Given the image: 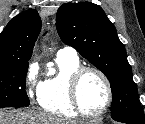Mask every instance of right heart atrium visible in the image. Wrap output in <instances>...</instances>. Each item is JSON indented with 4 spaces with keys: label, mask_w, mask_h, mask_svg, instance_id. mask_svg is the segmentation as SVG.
Returning a JSON list of instances; mask_svg holds the SVG:
<instances>
[{
    "label": "right heart atrium",
    "mask_w": 145,
    "mask_h": 124,
    "mask_svg": "<svg viewBox=\"0 0 145 124\" xmlns=\"http://www.w3.org/2000/svg\"><path fill=\"white\" fill-rule=\"evenodd\" d=\"M38 65H30L27 73V92L31 98L38 97L41 84L37 81Z\"/></svg>",
    "instance_id": "right-heart-atrium-1"
}]
</instances>
